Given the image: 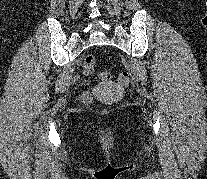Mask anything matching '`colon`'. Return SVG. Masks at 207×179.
Segmentation results:
<instances>
[{
    "instance_id": "obj_1",
    "label": "colon",
    "mask_w": 207,
    "mask_h": 179,
    "mask_svg": "<svg viewBox=\"0 0 207 179\" xmlns=\"http://www.w3.org/2000/svg\"><path fill=\"white\" fill-rule=\"evenodd\" d=\"M96 59L93 55H87L84 59V70L86 73H91L94 69ZM99 76L102 80H109L110 73L106 70H101L99 72ZM129 74L127 72H122L118 75V82L122 85H126L129 83ZM82 101L85 104H89L93 101V94L90 91H86L81 96Z\"/></svg>"
}]
</instances>
